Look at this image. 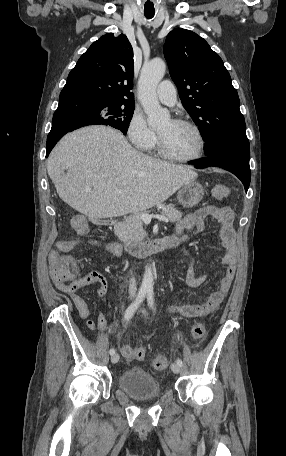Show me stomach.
Instances as JSON below:
<instances>
[{"label": "stomach", "instance_id": "stomach-1", "mask_svg": "<svg viewBox=\"0 0 286 456\" xmlns=\"http://www.w3.org/2000/svg\"><path fill=\"white\" fill-rule=\"evenodd\" d=\"M203 195V186L198 182L192 181L180 188L177 193V200L183 207L191 208L200 203Z\"/></svg>", "mask_w": 286, "mask_h": 456}]
</instances>
